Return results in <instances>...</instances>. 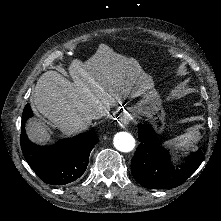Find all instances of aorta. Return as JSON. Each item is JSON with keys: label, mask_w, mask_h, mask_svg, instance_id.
Instances as JSON below:
<instances>
[{"label": "aorta", "mask_w": 221, "mask_h": 221, "mask_svg": "<svg viewBox=\"0 0 221 221\" xmlns=\"http://www.w3.org/2000/svg\"><path fill=\"white\" fill-rule=\"evenodd\" d=\"M114 146L121 152H130L135 147V139L127 132H118L113 139Z\"/></svg>", "instance_id": "obj_1"}]
</instances>
